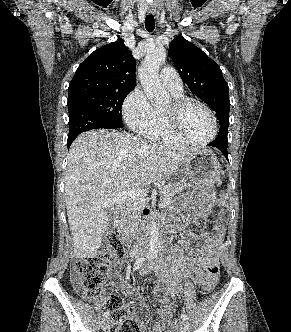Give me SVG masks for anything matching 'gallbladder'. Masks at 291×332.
<instances>
[{
  "instance_id": "bac80fb5",
  "label": "gallbladder",
  "mask_w": 291,
  "mask_h": 332,
  "mask_svg": "<svg viewBox=\"0 0 291 332\" xmlns=\"http://www.w3.org/2000/svg\"><path fill=\"white\" fill-rule=\"evenodd\" d=\"M113 219H114V215H112L110 217V221H109V224H108V227H107V230L108 231H112L115 227H114V223H113Z\"/></svg>"
}]
</instances>
